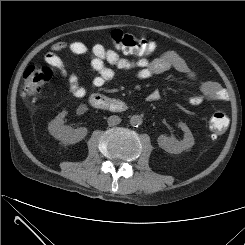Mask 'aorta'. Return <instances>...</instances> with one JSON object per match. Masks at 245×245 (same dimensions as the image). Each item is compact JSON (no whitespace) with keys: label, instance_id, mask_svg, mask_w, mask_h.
Segmentation results:
<instances>
[{"label":"aorta","instance_id":"obj_1","mask_svg":"<svg viewBox=\"0 0 245 245\" xmlns=\"http://www.w3.org/2000/svg\"><path fill=\"white\" fill-rule=\"evenodd\" d=\"M143 120L142 117L140 115H133L130 118V125L133 127H138L142 124Z\"/></svg>","mask_w":245,"mask_h":245}]
</instances>
